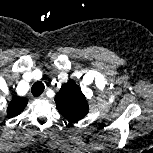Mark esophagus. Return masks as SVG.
I'll return each instance as SVG.
<instances>
[{"label":"esophagus","instance_id":"esophagus-1","mask_svg":"<svg viewBox=\"0 0 153 153\" xmlns=\"http://www.w3.org/2000/svg\"><path fill=\"white\" fill-rule=\"evenodd\" d=\"M38 99H39V100H46V96H45L44 94H42V95H40V96L38 97Z\"/></svg>","mask_w":153,"mask_h":153}]
</instances>
